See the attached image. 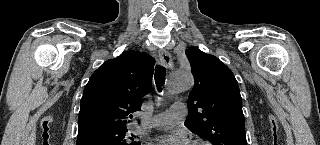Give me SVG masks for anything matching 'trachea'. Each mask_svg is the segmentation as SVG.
Wrapping results in <instances>:
<instances>
[{
    "instance_id": "1",
    "label": "trachea",
    "mask_w": 320,
    "mask_h": 145,
    "mask_svg": "<svg viewBox=\"0 0 320 145\" xmlns=\"http://www.w3.org/2000/svg\"><path fill=\"white\" fill-rule=\"evenodd\" d=\"M165 76H166L165 67H163L161 65H157L156 70H155L154 79H155L156 87L159 92H161L162 85L165 83Z\"/></svg>"
}]
</instances>
